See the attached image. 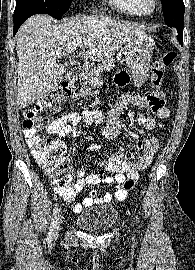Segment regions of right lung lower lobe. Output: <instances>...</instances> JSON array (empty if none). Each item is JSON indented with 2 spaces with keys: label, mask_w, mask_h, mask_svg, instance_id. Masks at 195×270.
<instances>
[{
  "label": "right lung lower lobe",
  "mask_w": 195,
  "mask_h": 270,
  "mask_svg": "<svg viewBox=\"0 0 195 270\" xmlns=\"http://www.w3.org/2000/svg\"><path fill=\"white\" fill-rule=\"evenodd\" d=\"M34 14H42L41 11L31 7H16L14 11V30L13 35L16 34L22 23Z\"/></svg>",
  "instance_id": "1"
}]
</instances>
